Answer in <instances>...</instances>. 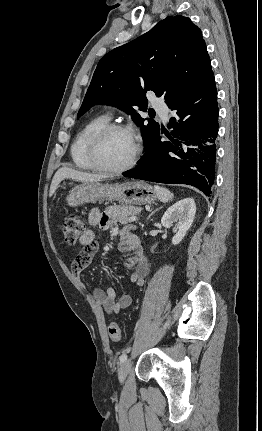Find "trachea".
I'll list each match as a JSON object with an SVG mask.
<instances>
[{"mask_svg":"<svg viewBox=\"0 0 262 431\" xmlns=\"http://www.w3.org/2000/svg\"><path fill=\"white\" fill-rule=\"evenodd\" d=\"M151 114H155V111H151Z\"/></svg>","mask_w":262,"mask_h":431,"instance_id":"obj_1","label":"trachea"}]
</instances>
